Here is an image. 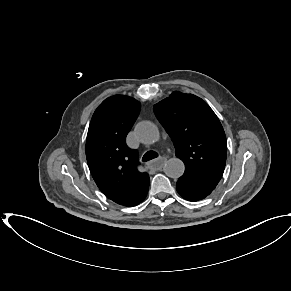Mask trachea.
Returning a JSON list of instances; mask_svg holds the SVG:
<instances>
[{"label":"trachea","instance_id":"trachea-1","mask_svg":"<svg viewBox=\"0 0 291 291\" xmlns=\"http://www.w3.org/2000/svg\"><path fill=\"white\" fill-rule=\"evenodd\" d=\"M157 157H158V154L156 152L148 151L144 154L142 161L146 162V161L152 160V159L157 158Z\"/></svg>","mask_w":291,"mask_h":291}]
</instances>
